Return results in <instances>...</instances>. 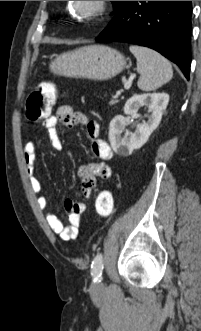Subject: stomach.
Masks as SVG:
<instances>
[{"label": "stomach", "instance_id": "obj_1", "mask_svg": "<svg viewBox=\"0 0 201 331\" xmlns=\"http://www.w3.org/2000/svg\"><path fill=\"white\" fill-rule=\"evenodd\" d=\"M126 59L119 51L105 45H88L57 56L50 64L54 74L108 80L124 70Z\"/></svg>", "mask_w": 201, "mask_h": 331}]
</instances>
